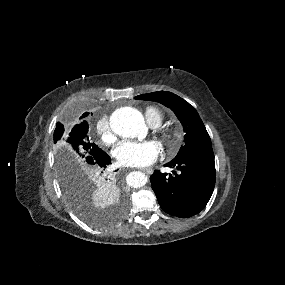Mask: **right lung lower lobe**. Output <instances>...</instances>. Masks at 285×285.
Here are the masks:
<instances>
[{
    "instance_id": "1",
    "label": "right lung lower lobe",
    "mask_w": 285,
    "mask_h": 285,
    "mask_svg": "<svg viewBox=\"0 0 285 285\" xmlns=\"http://www.w3.org/2000/svg\"><path fill=\"white\" fill-rule=\"evenodd\" d=\"M98 166L101 168L102 171H104L110 164H111V159L110 157L104 153L99 159H98ZM107 185H105L103 188L107 189L110 193H115L116 188L114 184V180L110 177L108 180L105 178Z\"/></svg>"
}]
</instances>
